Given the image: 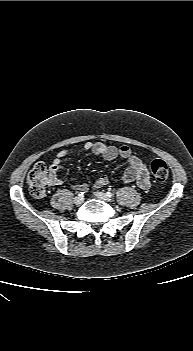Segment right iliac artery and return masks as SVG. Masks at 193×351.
Instances as JSON below:
<instances>
[{
	"label": "right iliac artery",
	"mask_w": 193,
	"mask_h": 351,
	"mask_svg": "<svg viewBox=\"0 0 193 351\" xmlns=\"http://www.w3.org/2000/svg\"><path fill=\"white\" fill-rule=\"evenodd\" d=\"M83 195H84V192H79V194H78V196H81V197H83Z\"/></svg>",
	"instance_id": "1"
}]
</instances>
